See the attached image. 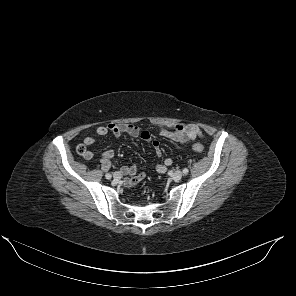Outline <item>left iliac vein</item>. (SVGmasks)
<instances>
[{
  "label": "left iliac vein",
  "mask_w": 296,
  "mask_h": 296,
  "mask_svg": "<svg viewBox=\"0 0 296 296\" xmlns=\"http://www.w3.org/2000/svg\"><path fill=\"white\" fill-rule=\"evenodd\" d=\"M183 176V173L181 171H175L173 174H172V178L175 180V181H178L182 178Z\"/></svg>",
  "instance_id": "1"
}]
</instances>
